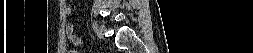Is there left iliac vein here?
Segmentation results:
<instances>
[{"label":"left iliac vein","mask_w":253,"mask_h":53,"mask_svg":"<svg viewBox=\"0 0 253 53\" xmlns=\"http://www.w3.org/2000/svg\"><path fill=\"white\" fill-rule=\"evenodd\" d=\"M97 32H98V36L99 37H103V34L105 32V27L104 26H100Z\"/></svg>","instance_id":"left-iliac-vein-1"}]
</instances>
